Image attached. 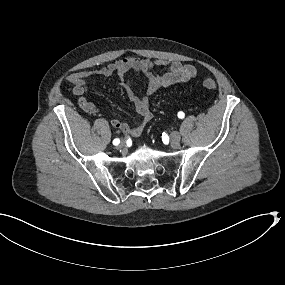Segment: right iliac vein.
<instances>
[{"mask_svg":"<svg viewBox=\"0 0 285 285\" xmlns=\"http://www.w3.org/2000/svg\"><path fill=\"white\" fill-rule=\"evenodd\" d=\"M124 147H125L124 142H121V143L119 144V146H118V149H123Z\"/></svg>","mask_w":285,"mask_h":285,"instance_id":"63e3f726","label":"right iliac vein"}]
</instances>
